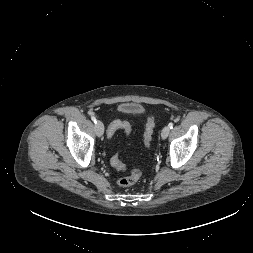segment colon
<instances>
[{"label":"colon","mask_w":253,"mask_h":253,"mask_svg":"<svg viewBox=\"0 0 253 253\" xmlns=\"http://www.w3.org/2000/svg\"><path fill=\"white\" fill-rule=\"evenodd\" d=\"M154 127H155L154 118L149 117L146 122L145 131H144V144L147 149H149L151 146ZM119 129L124 130L126 133L130 132L129 124L125 121L118 120V121L113 122L111 126L109 127L108 136L112 137L113 134ZM111 163L113 167L116 168L117 170H124V166L118 159L117 155L112 157ZM140 176H141V171L138 168H132L129 170V174L127 176L122 177L118 180V185L121 187L132 186L140 179Z\"/></svg>","instance_id":"obj_1"}]
</instances>
